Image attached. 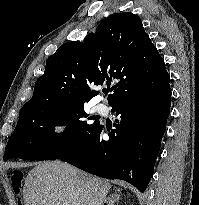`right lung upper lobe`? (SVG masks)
<instances>
[{
	"label": "right lung upper lobe",
	"mask_w": 199,
	"mask_h": 205,
	"mask_svg": "<svg viewBox=\"0 0 199 205\" xmlns=\"http://www.w3.org/2000/svg\"><path fill=\"white\" fill-rule=\"evenodd\" d=\"M163 72L164 60L141 20L130 12L115 13L104 19L94 34L82 42L64 43L48 58L44 74L35 83L33 97L25 105L85 104L99 93L91 87L112 82L110 104L129 92L141 78Z\"/></svg>",
	"instance_id": "obj_1"
}]
</instances>
